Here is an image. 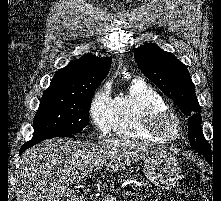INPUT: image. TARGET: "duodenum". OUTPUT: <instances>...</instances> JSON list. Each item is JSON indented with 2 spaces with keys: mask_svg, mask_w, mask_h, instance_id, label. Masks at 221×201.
<instances>
[{
  "mask_svg": "<svg viewBox=\"0 0 221 201\" xmlns=\"http://www.w3.org/2000/svg\"><path fill=\"white\" fill-rule=\"evenodd\" d=\"M75 201H85L83 197H78Z\"/></svg>",
  "mask_w": 221,
  "mask_h": 201,
  "instance_id": "1",
  "label": "duodenum"
}]
</instances>
